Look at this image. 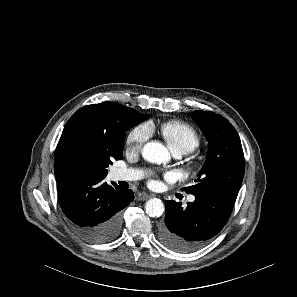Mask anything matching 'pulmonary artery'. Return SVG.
<instances>
[{
  "mask_svg": "<svg viewBox=\"0 0 297 297\" xmlns=\"http://www.w3.org/2000/svg\"><path fill=\"white\" fill-rule=\"evenodd\" d=\"M187 152L182 150L174 151L176 157H180ZM111 177L114 181H133L137 180L141 177V172L136 169L130 168H117L111 172ZM189 202H193L195 200L194 196H190L188 198Z\"/></svg>",
  "mask_w": 297,
  "mask_h": 297,
  "instance_id": "obj_1",
  "label": "pulmonary artery"
}]
</instances>
